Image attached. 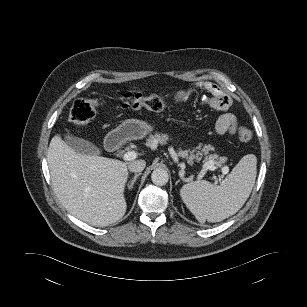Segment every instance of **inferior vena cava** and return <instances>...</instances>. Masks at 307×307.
I'll return each mask as SVG.
<instances>
[{
	"mask_svg": "<svg viewBox=\"0 0 307 307\" xmlns=\"http://www.w3.org/2000/svg\"><path fill=\"white\" fill-rule=\"evenodd\" d=\"M146 166V162L144 160H135L132 161L129 165H128V169L131 172H142L144 170Z\"/></svg>",
	"mask_w": 307,
	"mask_h": 307,
	"instance_id": "602c4592",
	"label": "inferior vena cava"
}]
</instances>
